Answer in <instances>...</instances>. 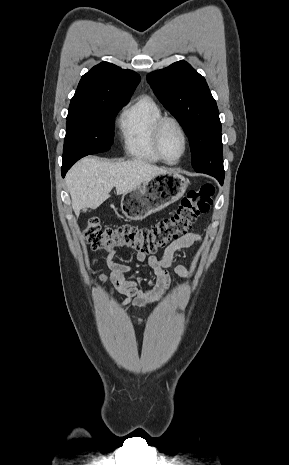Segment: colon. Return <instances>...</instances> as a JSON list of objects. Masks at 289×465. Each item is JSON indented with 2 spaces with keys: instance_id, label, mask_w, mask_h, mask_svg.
<instances>
[{
  "instance_id": "1",
  "label": "colon",
  "mask_w": 289,
  "mask_h": 465,
  "mask_svg": "<svg viewBox=\"0 0 289 465\" xmlns=\"http://www.w3.org/2000/svg\"><path fill=\"white\" fill-rule=\"evenodd\" d=\"M214 193L215 187L211 184L190 190L173 215L150 227L126 224L103 228L98 217H91L83 230V239L94 250L113 252L134 249L144 254H153L171 240L186 234L196 219L209 211Z\"/></svg>"
}]
</instances>
